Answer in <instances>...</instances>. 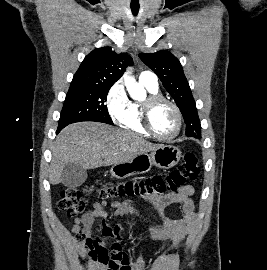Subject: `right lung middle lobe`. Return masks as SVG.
<instances>
[{
	"mask_svg": "<svg viewBox=\"0 0 267 270\" xmlns=\"http://www.w3.org/2000/svg\"><path fill=\"white\" fill-rule=\"evenodd\" d=\"M111 85H71L60 114L58 129L80 121L113 125L105 101Z\"/></svg>",
	"mask_w": 267,
	"mask_h": 270,
	"instance_id": "dd1d6c3e",
	"label": "right lung middle lobe"
}]
</instances>
